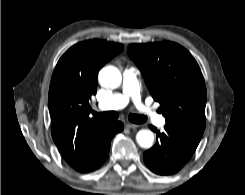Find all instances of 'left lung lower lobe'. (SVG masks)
<instances>
[{"label":"left lung lower lobe","instance_id":"obj_1","mask_svg":"<svg viewBox=\"0 0 245 195\" xmlns=\"http://www.w3.org/2000/svg\"><path fill=\"white\" fill-rule=\"evenodd\" d=\"M150 128L156 131L155 127ZM157 135L160 140L144 153L143 158L147 167L159 175L178 172L192 157L202 137L201 133L170 123H166L165 131H158Z\"/></svg>","mask_w":245,"mask_h":195}]
</instances>
